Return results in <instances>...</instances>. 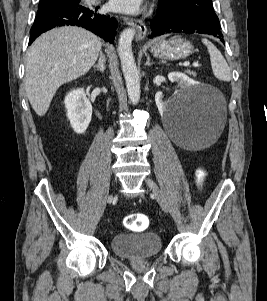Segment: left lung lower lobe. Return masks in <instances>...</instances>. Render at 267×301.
Masks as SVG:
<instances>
[{
    "mask_svg": "<svg viewBox=\"0 0 267 301\" xmlns=\"http://www.w3.org/2000/svg\"><path fill=\"white\" fill-rule=\"evenodd\" d=\"M150 27V38L169 33H199L213 35L224 42L220 26L192 15H172L158 11Z\"/></svg>",
    "mask_w": 267,
    "mask_h": 301,
    "instance_id": "left-lung-lower-lobe-1",
    "label": "left lung lower lobe"
}]
</instances>
